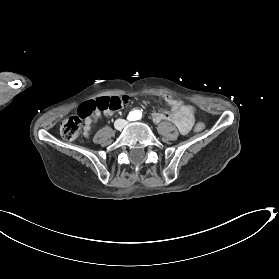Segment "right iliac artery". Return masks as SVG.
<instances>
[{"label": "right iliac artery", "instance_id": "1", "mask_svg": "<svg viewBox=\"0 0 279 279\" xmlns=\"http://www.w3.org/2000/svg\"><path fill=\"white\" fill-rule=\"evenodd\" d=\"M127 119H128L129 121H132V120H134V117H133L132 114H130V115L127 117Z\"/></svg>", "mask_w": 279, "mask_h": 279}]
</instances>
